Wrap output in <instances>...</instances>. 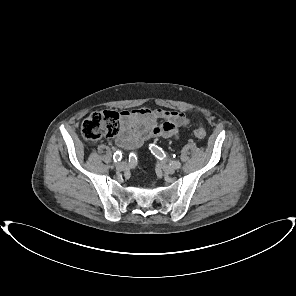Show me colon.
<instances>
[{
    "instance_id": "colon-1",
    "label": "colon",
    "mask_w": 296,
    "mask_h": 296,
    "mask_svg": "<svg viewBox=\"0 0 296 296\" xmlns=\"http://www.w3.org/2000/svg\"><path fill=\"white\" fill-rule=\"evenodd\" d=\"M121 113L114 110L97 111L89 115L81 125L83 137L92 142H98L104 137H113L120 130ZM198 139L206 137V130L196 126L193 130Z\"/></svg>"
}]
</instances>
